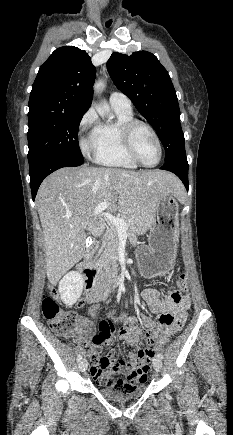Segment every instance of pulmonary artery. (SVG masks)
<instances>
[{
    "label": "pulmonary artery",
    "mask_w": 233,
    "mask_h": 435,
    "mask_svg": "<svg viewBox=\"0 0 233 435\" xmlns=\"http://www.w3.org/2000/svg\"><path fill=\"white\" fill-rule=\"evenodd\" d=\"M109 101L112 106L131 110V100L121 92H112Z\"/></svg>",
    "instance_id": "e3ab8cb5"
}]
</instances>
